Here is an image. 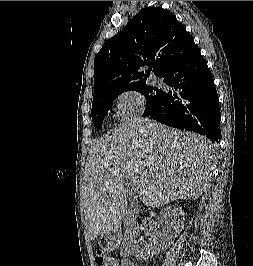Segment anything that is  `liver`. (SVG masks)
Segmentation results:
<instances>
[{
	"instance_id": "liver-1",
	"label": "liver",
	"mask_w": 253,
	"mask_h": 266,
	"mask_svg": "<svg viewBox=\"0 0 253 266\" xmlns=\"http://www.w3.org/2000/svg\"><path fill=\"white\" fill-rule=\"evenodd\" d=\"M214 146L197 133L149 119L133 120L97 141L85 165L83 198L89 238L115 229L127 217V184L136 177L140 201L159 208L195 200L206 190Z\"/></svg>"
}]
</instances>
